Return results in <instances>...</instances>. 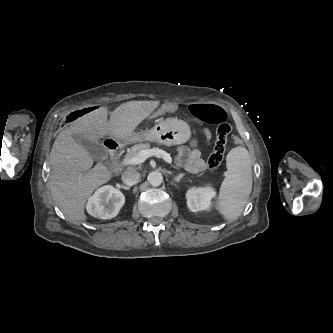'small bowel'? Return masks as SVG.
<instances>
[{"label":"small bowel","instance_id":"1","mask_svg":"<svg viewBox=\"0 0 333 333\" xmlns=\"http://www.w3.org/2000/svg\"><path fill=\"white\" fill-rule=\"evenodd\" d=\"M177 104L176 103H168L167 105H164L163 107H157L156 108V115L157 116H168L169 114L176 112L177 111ZM187 120H189L190 122L193 123V125H195L196 127H201V122H199V120L195 119V117H193V115L189 114L187 115ZM202 130V135L204 140H209V133H208V128L207 126H202L201 128ZM206 147L210 148L212 147V142L208 141L206 142ZM178 160L181 164L184 165V167L186 168L187 171H189L190 173H199L202 172L203 170H205V162L204 160L201 158V153L200 151L193 147H181L178 151Z\"/></svg>","mask_w":333,"mask_h":333}]
</instances>
